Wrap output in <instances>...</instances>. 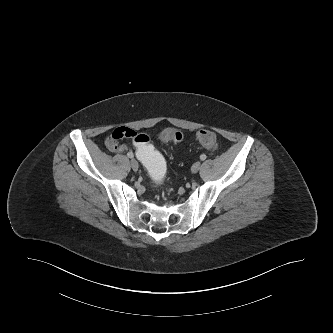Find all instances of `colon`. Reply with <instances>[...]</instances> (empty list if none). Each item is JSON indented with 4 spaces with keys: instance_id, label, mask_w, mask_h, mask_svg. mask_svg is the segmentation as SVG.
Returning a JSON list of instances; mask_svg holds the SVG:
<instances>
[{
    "instance_id": "obj_1",
    "label": "colon",
    "mask_w": 333,
    "mask_h": 333,
    "mask_svg": "<svg viewBox=\"0 0 333 333\" xmlns=\"http://www.w3.org/2000/svg\"><path fill=\"white\" fill-rule=\"evenodd\" d=\"M159 139L162 142H181L184 139V135L177 129H165L159 134ZM197 140L207 149H216L218 147V139L210 130L199 131ZM133 143L136 145V156L142 165L147 166L151 181L157 184L163 182L166 176L167 165L160 156L157 146L150 143L148 135L137 132Z\"/></svg>"
}]
</instances>
